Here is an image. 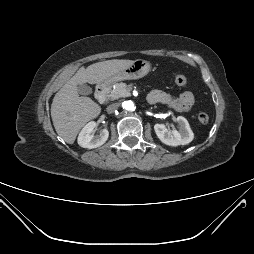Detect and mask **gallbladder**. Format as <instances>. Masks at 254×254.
Segmentation results:
<instances>
[{
	"instance_id": "1",
	"label": "gallbladder",
	"mask_w": 254,
	"mask_h": 254,
	"mask_svg": "<svg viewBox=\"0 0 254 254\" xmlns=\"http://www.w3.org/2000/svg\"><path fill=\"white\" fill-rule=\"evenodd\" d=\"M78 92L82 95H89L92 93V88L86 84L78 85Z\"/></svg>"
}]
</instances>
